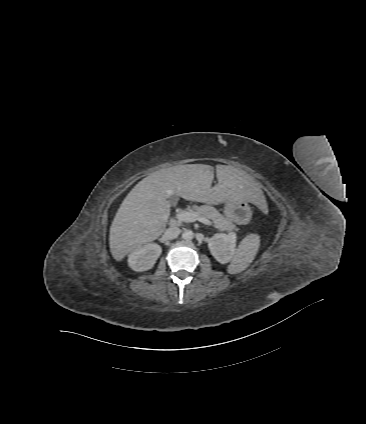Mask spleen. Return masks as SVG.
<instances>
[{
  "instance_id": "3e777b00",
  "label": "spleen",
  "mask_w": 366,
  "mask_h": 424,
  "mask_svg": "<svg viewBox=\"0 0 366 424\" xmlns=\"http://www.w3.org/2000/svg\"><path fill=\"white\" fill-rule=\"evenodd\" d=\"M260 246V237L257 234L246 236L239 244L230 265L228 273L237 274L244 271L254 260Z\"/></svg>"
}]
</instances>
